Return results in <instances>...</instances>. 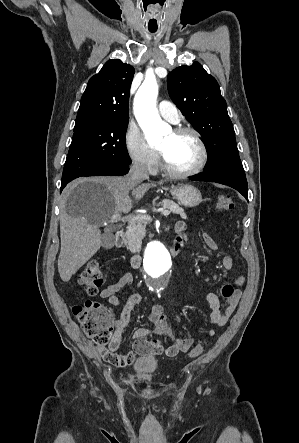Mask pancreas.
<instances>
[{
	"label": "pancreas",
	"instance_id": "1",
	"mask_svg": "<svg viewBox=\"0 0 299 443\" xmlns=\"http://www.w3.org/2000/svg\"><path fill=\"white\" fill-rule=\"evenodd\" d=\"M163 206H166L170 212H173L175 214H179L182 218H186V214L184 212V209L181 208L177 203H175L172 200L164 199L160 203ZM150 220H138L129 225L127 228L125 234H124V244L126 245L127 249L130 250L132 253L140 252L142 239L145 236V227L146 224H148Z\"/></svg>",
	"mask_w": 299,
	"mask_h": 443
}]
</instances>
